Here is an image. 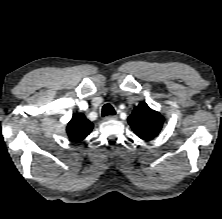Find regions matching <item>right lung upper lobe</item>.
I'll return each instance as SVG.
<instances>
[{"label":"right lung upper lobe","mask_w":222,"mask_h":219,"mask_svg":"<svg viewBox=\"0 0 222 219\" xmlns=\"http://www.w3.org/2000/svg\"><path fill=\"white\" fill-rule=\"evenodd\" d=\"M93 124L82 114L73 115L67 125V134L74 142L84 140L92 131Z\"/></svg>","instance_id":"cb5924a9"}]
</instances>
